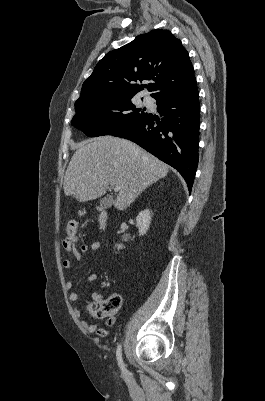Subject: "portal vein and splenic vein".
Here are the masks:
<instances>
[{
	"instance_id": "1",
	"label": "portal vein and splenic vein",
	"mask_w": 265,
	"mask_h": 401,
	"mask_svg": "<svg viewBox=\"0 0 265 401\" xmlns=\"http://www.w3.org/2000/svg\"><path fill=\"white\" fill-rule=\"evenodd\" d=\"M113 190H115V192H118V190H120V186H114Z\"/></svg>"
}]
</instances>
